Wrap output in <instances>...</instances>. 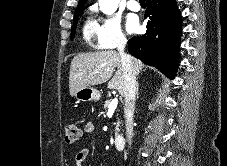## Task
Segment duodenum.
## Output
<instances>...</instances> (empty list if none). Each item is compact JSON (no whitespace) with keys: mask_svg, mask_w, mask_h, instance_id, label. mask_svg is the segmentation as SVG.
<instances>
[{"mask_svg":"<svg viewBox=\"0 0 227 166\" xmlns=\"http://www.w3.org/2000/svg\"><path fill=\"white\" fill-rule=\"evenodd\" d=\"M126 139L124 135H118L115 138V147L117 150H123L125 147Z\"/></svg>","mask_w":227,"mask_h":166,"instance_id":"410a0bca","label":"duodenum"}]
</instances>
